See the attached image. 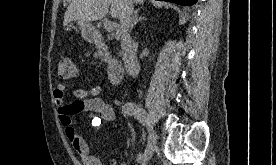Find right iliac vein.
<instances>
[{"mask_svg":"<svg viewBox=\"0 0 276 165\" xmlns=\"http://www.w3.org/2000/svg\"><path fill=\"white\" fill-rule=\"evenodd\" d=\"M142 114L144 116L145 122H148V117H147L146 113L144 111H142ZM154 146H155V135L153 132H150L148 144H147L146 150L142 157V162H141L142 165H146L147 162L149 161V159L151 158V156L154 152Z\"/></svg>","mask_w":276,"mask_h":165,"instance_id":"obj_1","label":"right iliac vein"}]
</instances>
